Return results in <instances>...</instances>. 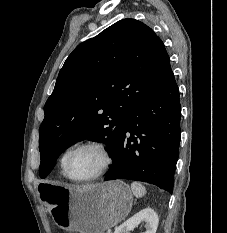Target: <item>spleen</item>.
Masks as SVG:
<instances>
[{
	"instance_id": "obj_1",
	"label": "spleen",
	"mask_w": 227,
	"mask_h": 233,
	"mask_svg": "<svg viewBox=\"0 0 227 233\" xmlns=\"http://www.w3.org/2000/svg\"><path fill=\"white\" fill-rule=\"evenodd\" d=\"M131 190L137 198H141L146 194V188L139 182H132Z\"/></svg>"
}]
</instances>
